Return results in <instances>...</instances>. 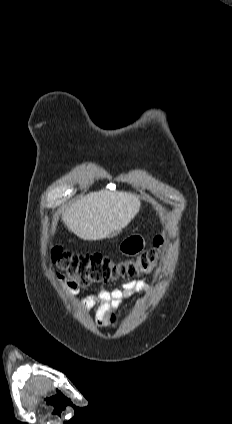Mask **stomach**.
I'll return each mask as SVG.
<instances>
[{"label": "stomach", "mask_w": 232, "mask_h": 424, "mask_svg": "<svg viewBox=\"0 0 232 424\" xmlns=\"http://www.w3.org/2000/svg\"><path fill=\"white\" fill-rule=\"evenodd\" d=\"M146 246L145 239L140 234H133L119 244L118 250L124 255H137L141 253Z\"/></svg>", "instance_id": "1"}]
</instances>
